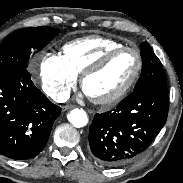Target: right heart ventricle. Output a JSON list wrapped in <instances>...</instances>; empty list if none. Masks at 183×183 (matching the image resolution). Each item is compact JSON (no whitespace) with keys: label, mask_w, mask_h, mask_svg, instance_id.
I'll use <instances>...</instances> for the list:
<instances>
[{"label":"right heart ventricle","mask_w":183,"mask_h":183,"mask_svg":"<svg viewBox=\"0 0 183 183\" xmlns=\"http://www.w3.org/2000/svg\"><path fill=\"white\" fill-rule=\"evenodd\" d=\"M122 46L112 38L93 35L84 37L63 46V58L67 66L80 76L85 69L95 63L109 50Z\"/></svg>","instance_id":"right-heart-ventricle-1"}]
</instances>
